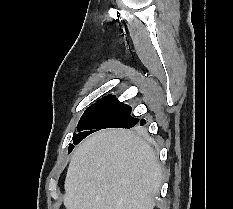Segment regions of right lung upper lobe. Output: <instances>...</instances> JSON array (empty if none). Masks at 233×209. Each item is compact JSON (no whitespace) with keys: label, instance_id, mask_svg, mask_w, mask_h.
<instances>
[{"label":"right lung upper lobe","instance_id":"obj_1","mask_svg":"<svg viewBox=\"0 0 233 209\" xmlns=\"http://www.w3.org/2000/svg\"><path fill=\"white\" fill-rule=\"evenodd\" d=\"M101 103H120V102L113 95H108L98 100L95 104H101Z\"/></svg>","mask_w":233,"mask_h":209}]
</instances>
